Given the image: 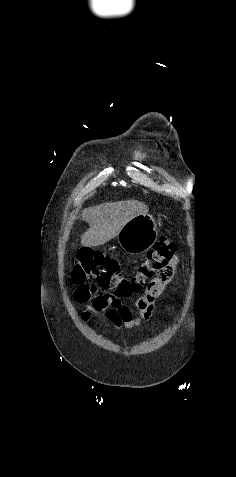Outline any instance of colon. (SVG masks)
Wrapping results in <instances>:
<instances>
[{
  "label": "colon",
  "instance_id": "obj_1",
  "mask_svg": "<svg viewBox=\"0 0 236 477\" xmlns=\"http://www.w3.org/2000/svg\"><path fill=\"white\" fill-rule=\"evenodd\" d=\"M176 248V243L169 237L160 238L131 278L122 274L116 259L89 248L81 249L70 275L76 300L94 302L100 298L113 309L125 310L124 299L151 290L162 293L174 275ZM108 290L111 293L101 292Z\"/></svg>",
  "mask_w": 236,
  "mask_h": 477
}]
</instances>
